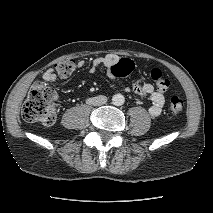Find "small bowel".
<instances>
[{
  "mask_svg": "<svg viewBox=\"0 0 213 213\" xmlns=\"http://www.w3.org/2000/svg\"><path fill=\"white\" fill-rule=\"evenodd\" d=\"M119 60H121V58L115 54H107L98 57L93 60L92 65L90 67V72L95 73L99 68H105L108 75L114 77L111 72V69ZM83 66V60H78L75 63V67L77 68H82ZM42 77L45 81L52 83L57 80L58 73L55 69L49 68L43 73ZM125 90L133 91L136 95L142 97H148L151 101V105L148 109V112L152 117H157L161 114L165 104V97L163 93L156 90L151 83L145 81L142 78L141 74H136L131 86L125 88Z\"/></svg>",
  "mask_w": 213,
  "mask_h": 213,
  "instance_id": "small-bowel-1",
  "label": "small bowel"
}]
</instances>
